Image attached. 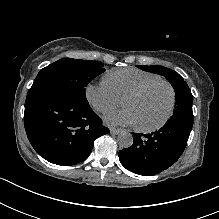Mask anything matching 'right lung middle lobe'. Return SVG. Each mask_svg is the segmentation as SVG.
Wrapping results in <instances>:
<instances>
[{
  "mask_svg": "<svg viewBox=\"0 0 219 219\" xmlns=\"http://www.w3.org/2000/svg\"><path fill=\"white\" fill-rule=\"evenodd\" d=\"M104 71L103 64L96 61L63 58L41 69L30 89L55 88L88 102L85 87Z\"/></svg>",
  "mask_w": 219,
  "mask_h": 219,
  "instance_id": "dd1d6c3e",
  "label": "right lung middle lobe"
}]
</instances>
